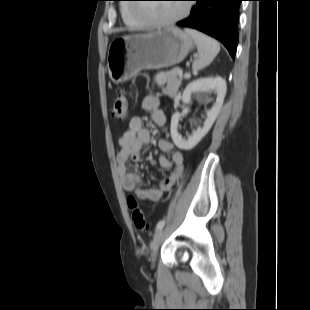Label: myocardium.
<instances>
[{
	"label": "myocardium",
	"mask_w": 310,
	"mask_h": 310,
	"mask_svg": "<svg viewBox=\"0 0 310 310\" xmlns=\"http://www.w3.org/2000/svg\"><path fill=\"white\" fill-rule=\"evenodd\" d=\"M190 8H191L190 4H186L183 6V10L179 15H177L176 17L172 19L163 20V21L155 20L148 16L142 15L140 14L139 9H136L135 7H132V15L136 19L141 20L145 24L146 27L164 28V27H169L171 25H174L180 20H182L183 18H185L189 14Z\"/></svg>",
	"instance_id": "1"
}]
</instances>
